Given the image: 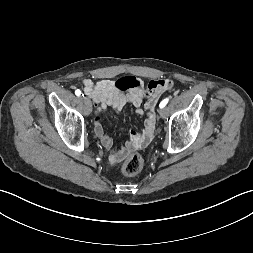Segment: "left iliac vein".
I'll return each instance as SVG.
<instances>
[{
  "label": "left iliac vein",
  "instance_id": "obj_1",
  "mask_svg": "<svg viewBox=\"0 0 253 253\" xmlns=\"http://www.w3.org/2000/svg\"><path fill=\"white\" fill-rule=\"evenodd\" d=\"M168 114V110L166 108H160L159 109V115L162 117V118H165Z\"/></svg>",
  "mask_w": 253,
  "mask_h": 253
}]
</instances>
